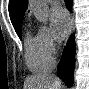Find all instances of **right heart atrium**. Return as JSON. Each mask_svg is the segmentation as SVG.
<instances>
[{
	"instance_id": "obj_1",
	"label": "right heart atrium",
	"mask_w": 89,
	"mask_h": 89,
	"mask_svg": "<svg viewBox=\"0 0 89 89\" xmlns=\"http://www.w3.org/2000/svg\"><path fill=\"white\" fill-rule=\"evenodd\" d=\"M37 39L42 53L51 58L56 49V41L51 30L47 26H40L37 32Z\"/></svg>"
}]
</instances>
